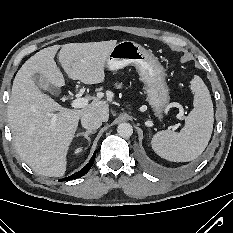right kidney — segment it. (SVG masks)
I'll use <instances>...</instances> for the list:
<instances>
[{"label": "right kidney", "mask_w": 233, "mask_h": 233, "mask_svg": "<svg viewBox=\"0 0 233 233\" xmlns=\"http://www.w3.org/2000/svg\"><path fill=\"white\" fill-rule=\"evenodd\" d=\"M81 151H82V148H81V147H78V148L75 149L74 153H75V154H78V153H80Z\"/></svg>", "instance_id": "obj_1"}]
</instances>
